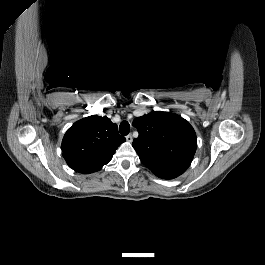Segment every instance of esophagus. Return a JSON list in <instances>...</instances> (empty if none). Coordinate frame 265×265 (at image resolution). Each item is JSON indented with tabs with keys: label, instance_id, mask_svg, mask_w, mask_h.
Here are the masks:
<instances>
[{
	"label": "esophagus",
	"instance_id": "34e87169",
	"mask_svg": "<svg viewBox=\"0 0 265 265\" xmlns=\"http://www.w3.org/2000/svg\"><path fill=\"white\" fill-rule=\"evenodd\" d=\"M126 140H127V142H132V140H133L132 135L131 134L127 135Z\"/></svg>",
	"mask_w": 265,
	"mask_h": 265
}]
</instances>
